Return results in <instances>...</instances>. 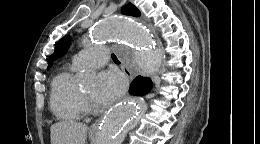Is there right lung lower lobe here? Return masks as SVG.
<instances>
[{
    "instance_id": "right-lung-lower-lobe-1",
    "label": "right lung lower lobe",
    "mask_w": 260,
    "mask_h": 144,
    "mask_svg": "<svg viewBox=\"0 0 260 144\" xmlns=\"http://www.w3.org/2000/svg\"><path fill=\"white\" fill-rule=\"evenodd\" d=\"M152 89V81L150 78L137 76L132 82L129 93L132 95H144Z\"/></svg>"
}]
</instances>
